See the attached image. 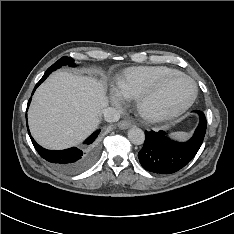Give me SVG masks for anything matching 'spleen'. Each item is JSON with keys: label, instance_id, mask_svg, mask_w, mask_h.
I'll list each match as a JSON object with an SVG mask.
<instances>
[{"label": "spleen", "instance_id": "obj_1", "mask_svg": "<svg viewBox=\"0 0 234 234\" xmlns=\"http://www.w3.org/2000/svg\"><path fill=\"white\" fill-rule=\"evenodd\" d=\"M171 136L175 139L184 141L189 137V134L187 132H174L171 134Z\"/></svg>", "mask_w": 234, "mask_h": 234}]
</instances>
